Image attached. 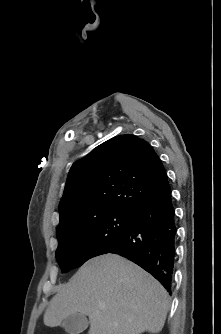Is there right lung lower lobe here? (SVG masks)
<instances>
[{
  "mask_svg": "<svg viewBox=\"0 0 221 334\" xmlns=\"http://www.w3.org/2000/svg\"><path fill=\"white\" fill-rule=\"evenodd\" d=\"M175 213L169 182L141 203L115 247L105 253L121 255L151 273L171 292L176 244Z\"/></svg>",
  "mask_w": 221,
  "mask_h": 334,
  "instance_id": "obj_1",
  "label": "right lung lower lobe"
}]
</instances>
